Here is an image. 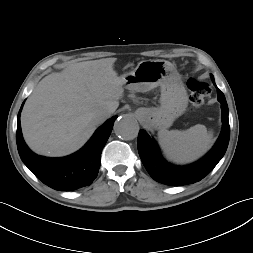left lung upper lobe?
I'll return each instance as SVG.
<instances>
[{
  "label": "left lung upper lobe",
  "mask_w": 253,
  "mask_h": 253,
  "mask_svg": "<svg viewBox=\"0 0 253 253\" xmlns=\"http://www.w3.org/2000/svg\"><path fill=\"white\" fill-rule=\"evenodd\" d=\"M212 77V80L214 81V77L213 76H211Z\"/></svg>",
  "instance_id": "left-lung-upper-lobe-1"
}]
</instances>
